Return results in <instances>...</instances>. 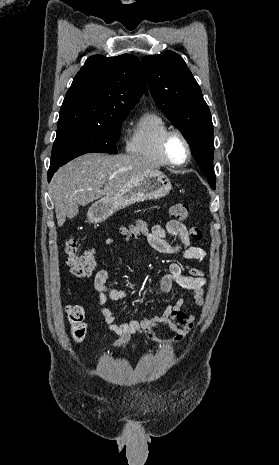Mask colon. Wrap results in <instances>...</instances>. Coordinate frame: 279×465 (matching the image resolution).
I'll return each instance as SVG.
<instances>
[{"label": "colon", "mask_w": 279, "mask_h": 465, "mask_svg": "<svg viewBox=\"0 0 279 465\" xmlns=\"http://www.w3.org/2000/svg\"><path fill=\"white\" fill-rule=\"evenodd\" d=\"M189 208L186 204L177 203L171 207V215L177 221H184L188 218ZM147 231L146 222L143 220L137 221L135 224L125 229V233L128 237L135 238ZM189 234L194 240L202 239V232L197 227H192L189 230ZM66 263L72 275L75 277H87L93 271L96 265V255L93 250H87L83 253L79 252L78 242L76 239H69L66 242L65 247ZM67 318L71 324V335L75 340L83 338L86 332V326L84 323L85 312L84 309L79 305H70L67 308Z\"/></svg>", "instance_id": "colon-1"}]
</instances>
